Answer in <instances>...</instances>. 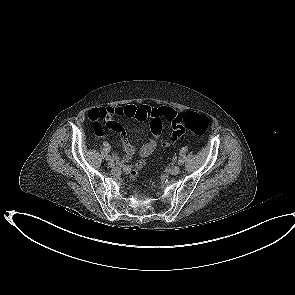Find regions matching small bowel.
Returning <instances> with one entry per match:
<instances>
[{"label":"small bowel","instance_id":"obj_1","mask_svg":"<svg viewBox=\"0 0 295 295\" xmlns=\"http://www.w3.org/2000/svg\"><path fill=\"white\" fill-rule=\"evenodd\" d=\"M107 114V116H106ZM178 113L169 107L153 108L147 105H134L128 104L124 106H118L108 109H91L88 112V118L91 121L104 120V125L107 128H111L113 131H119L122 128V123L119 120H114L110 117L111 115H116L119 117H126L131 119H137L140 121L150 119V129L153 134V138L161 144L162 147L171 146L180 136V132L174 127L172 122L175 120V116ZM107 117V118H105ZM164 121L170 123L171 128L168 131L166 137L162 139V130L164 126ZM122 134V130L120 131ZM124 155L118 156L114 155L118 164L124 167L125 171H129L125 164L129 161L135 152L133 145L124 137ZM154 151V150H153Z\"/></svg>","mask_w":295,"mask_h":295}]
</instances>
